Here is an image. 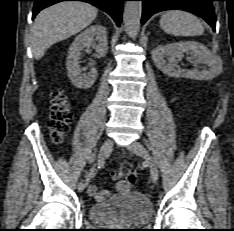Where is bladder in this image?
Segmentation results:
<instances>
[{
    "instance_id": "bladder-1",
    "label": "bladder",
    "mask_w": 234,
    "mask_h": 231,
    "mask_svg": "<svg viewBox=\"0 0 234 231\" xmlns=\"http://www.w3.org/2000/svg\"><path fill=\"white\" fill-rule=\"evenodd\" d=\"M90 219L101 225H143L152 216L151 201L141 192H128L88 208Z\"/></svg>"
}]
</instances>
